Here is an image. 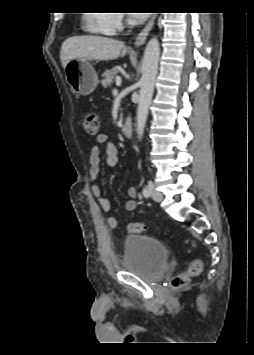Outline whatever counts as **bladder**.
I'll list each match as a JSON object with an SVG mask.
<instances>
[{
	"mask_svg": "<svg viewBox=\"0 0 254 355\" xmlns=\"http://www.w3.org/2000/svg\"><path fill=\"white\" fill-rule=\"evenodd\" d=\"M167 247L150 236L132 235L125 238L123 267L126 271L156 280L167 270Z\"/></svg>",
	"mask_w": 254,
	"mask_h": 355,
	"instance_id": "1",
	"label": "bladder"
}]
</instances>
